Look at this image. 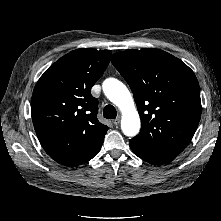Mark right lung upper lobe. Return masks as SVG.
<instances>
[{"mask_svg": "<svg viewBox=\"0 0 221 221\" xmlns=\"http://www.w3.org/2000/svg\"><path fill=\"white\" fill-rule=\"evenodd\" d=\"M110 56V50H74L51 65L33 90L31 114L37 137L60 164L81 165L101 149L108 127L97 120L98 100L90 89Z\"/></svg>", "mask_w": 221, "mask_h": 221, "instance_id": "cb5924a9", "label": "right lung upper lobe"}]
</instances>
